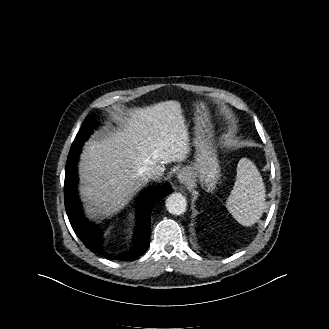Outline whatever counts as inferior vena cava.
Wrapping results in <instances>:
<instances>
[{
  "label": "inferior vena cava",
  "mask_w": 329,
  "mask_h": 329,
  "mask_svg": "<svg viewBox=\"0 0 329 329\" xmlns=\"http://www.w3.org/2000/svg\"><path fill=\"white\" fill-rule=\"evenodd\" d=\"M140 174L144 180L156 179L162 174L160 166H148L141 169Z\"/></svg>",
  "instance_id": "602c4592"
}]
</instances>
